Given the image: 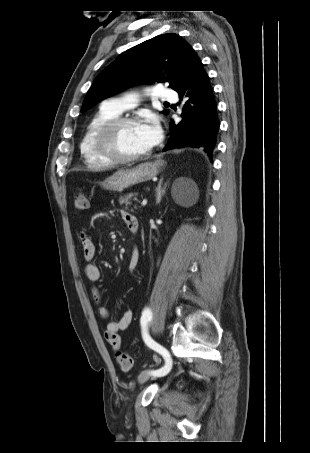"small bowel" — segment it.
Masks as SVG:
<instances>
[{
    "label": "small bowel",
    "mask_w": 310,
    "mask_h": 453,
    "mask_svg": "<svg viewBox=\"0 0 310 453\" xmlns=\"http://www.w3.org/2000/svg\"><path fill=\"white\" fill-rule=\"evenodd\" d=\"M121 216L128 227L132 230L138 227V221L134 215L127 211H122ZM80 242L82 247V255L86 262L85 265V276L93 283L98 282L101 279L100 269L92 263L95 255V245L85 231L80 232ZM140 260V251L137 247H134L131 251L129 259V272H133ZM92 296L96 305L97 313L102 319L109 318V311L102 304V298L100 291L94 287L92 289ZM133 320V312L127 310L118 320L109 321L104 331V337L107 343L111 346L114 351H118L121 348V339L119 332L126 330Z\"/></svg>",
    "instance_id": "1"
}]
</instances>
